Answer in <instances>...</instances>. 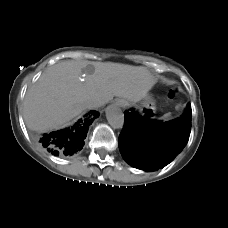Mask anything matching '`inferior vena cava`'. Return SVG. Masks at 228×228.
<instances>
[{"mask_svg": "<svg viewBox=\"0 0 228 228\" xmlns=\"http://www.w3.org/2000/svg\"><path fill=\"white\" fill-rule=\"evenodd\" d=\"M85 105H86V107L89 108V109H91L92 107H94V103H93L92 101H87V102L85 103Z\"/></svg>", "mask_w": 228, "mask_h": 228, "instance_id": "inferior-vena-cava-1", "label": "inferior vena cava"}]
</instances>
